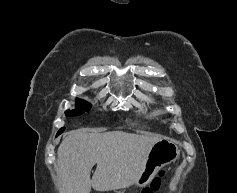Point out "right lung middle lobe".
Returning <instances> with one entry per match:
<instances>
[{"label": "right lung middle lobe", "instance_id": "obj_1", "mask_svg": "<svg viewBox=\"0 0 237 193\" xmlns=\"http://www.w3.org/2000/svg\"><path fill=\"white\" fill-rule=\"evenodd\" d=\"M91 108V104L84 100H77L76 108L73 110H67L65 112L66 116L72 117V116H78L84 113V111H89Z\"/></svg>", "mask_w": 237, "mask_h": 193}]
</instances>
